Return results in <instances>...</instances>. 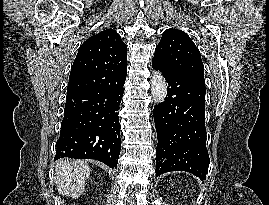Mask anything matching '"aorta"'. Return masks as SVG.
Returning <instances> with one entry per match:
<instances>
[{"mask_svg":"<svg viewBox=\"0 0 269 205\" xmlns=\"http://www.w3.org/2000/svg\"><path fill=\"white\" fill-rule=\"evenodd\" d=\"M151 96L153 101L158 104L165 100L167 86L163 75L159 71H154L151 75Z\"/></svg>","mask_w":269,"mask_h":205,"instance_id":"aorta-1","label":"aorta"}]
</instances>
